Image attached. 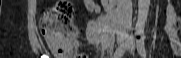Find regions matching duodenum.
<instances>
[{
	"label": "duodenum",
	"instance_id": "410a0bca",
	"mask_svg": "<svg viewBox=\"0 0 181 58\" xmlns=\"http://www.w3.org/2000/svg\"><path fill=\"white\" fill-rule=\"evenodd\" d=\"M103 5L114 12H118L124 5L125 0H103Z\"/></svg>",
	"mask_w": 181,
	"mask_h": 58
}]
</instances>
